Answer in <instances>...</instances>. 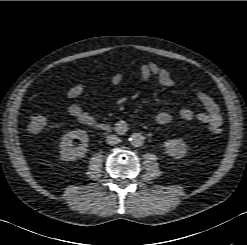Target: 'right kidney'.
<instances>
[{
  "label": "right kidney",
  "mask_w": 247,
  "mask_h": 245,
  "mask_svg": "<svg viewBox=\"0 0 247 245\" xmlns=\"http://www.w3.org/2000/svg\"><path fill=\"white\" fill-rule=\"evenodd\" d=\"M79 139L81 144L74 147L73 140ZM89 136L83 130H74L66 133L60 143V153L63 160L72 161L83 158L88 151Z\"/></svg>",
  "instance_id": "right-kidney-1"
}]
</instances>
